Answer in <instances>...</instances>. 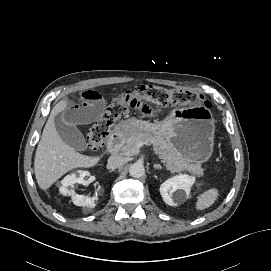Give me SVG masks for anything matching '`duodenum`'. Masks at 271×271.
I'll use <instances>...</instances> for the list:
<instances>
[{"instance_id": "410a0bca", "label": "duodenum", "mask_w": 271, "mask_h": 271, "mask_svg": "<svg viewBox=\"0 0 271 271\" xmlns=\"http://www.w3.org/2000/svg\"><path fill=\"white\" fill-rule=\"evenodd\" d=\"M124 131L122 127L115 129L107 139V147L110 152L117 153L122 145Z\"/></svg>"}]
</instances>
